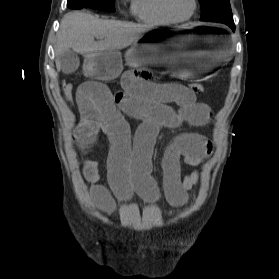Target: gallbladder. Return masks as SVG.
<instances>
[{
  "instance_id": "1",
  "label": "gallbladder",
  "mask_w": 279,
  "mask_h": 279,
  "mask_svg": "<svg viewBox=\"0 0 279 279\" xmlns=\"http://www.w3.org/2000/svg\"><path fill=\"white\" fill-rule=\"evenodd\" d=\"M61 70L64 74L74 73L80 66V59L73 50H67L59 56Z\"/></svg>"
}]
</instances>
